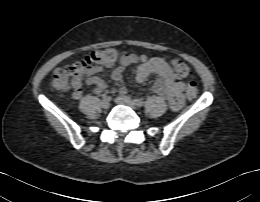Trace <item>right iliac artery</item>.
Segmentation results:
<instances>
[{"mask_svg": "<svg viewBox=\"0 0 260 202\" xmlns=\"http://www.w3.org/2000/svg\"><path fill=\"white\" fill-rule=\"evenodd\" d=\"M110 97L109 96H107V95H103V99H109Z\"/></svg>", "mask_w": 260, "mask_h": 202, "instance_id": "obj_1", "label": "right iliac artery"}]
</instances>
